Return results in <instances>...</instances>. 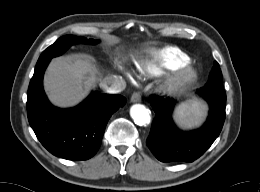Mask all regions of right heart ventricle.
I'll return each mask as SVG.
<instances>
[{"label":"right heart ventricle","instance_id":"e07e8e85","mask_svg":"<svg viewBox=\"0 0 260 192\" xmlns=\"http://www.w3.org/2000/svg\"><path fill=\"white\" fill-rule=\"evenodd\" d=\"M189 57L177 48H166L156 54L153 61L145 67L151 76H159L169 70H176L186 64Z\"/></svg>","mask_w":260,"mask_h":192}]
</instances>
